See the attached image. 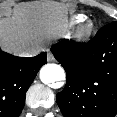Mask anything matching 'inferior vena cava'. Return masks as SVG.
I'll use <instances>...</instances> for the list:
<instances>
[{"label":"inferior vena cava","mask_w":117,"mask_h":117,"mask_svg":"<svg viewBox=\"0 0 117 117\" xmlns=\"http://www.w3.org/2000/svg\"><path fill=\"white\" fill-rule=\"evenodd\" d=\"M40 51H41L40 46H32L21 51L18 55L21 57H32V56L39 54Z\"/></svg>","instance_id":"inferior-vena-cava-1"}]
</instances>
